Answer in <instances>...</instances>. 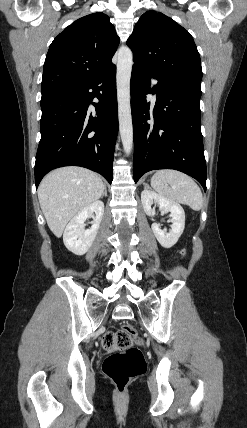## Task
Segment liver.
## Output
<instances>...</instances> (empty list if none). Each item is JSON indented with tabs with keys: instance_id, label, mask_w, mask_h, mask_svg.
Instances as JSON below:
<instances>
[{
	"instance_id": "6515ba94",
	"label": "liver",
	"mask_w": 247,
	"mask_h": 428,
	"mask_svg": "<svg viewBox=\"0 0 247 428\" xmlns=\"http://www.w3.org/2000/svg\"><path fill=\"white\" fill-rule=\"evenodd\" d=\"M104 184L94 172L64 167L47 174L38 188V198L50 230L61 237L67 223L103 194Z\"/></svg>"
}]
</instances>
